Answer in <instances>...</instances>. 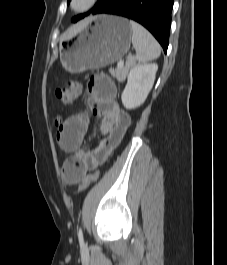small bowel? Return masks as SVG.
Here are the masks:
<instances>
[{"label":"small bowel","instance_id":"small-bowel-1","mask_svg":"<svg viewBox=\"0 0 227 265\" xmlns=\"http://www.w3.org/2000/svg\"><path fill=\"white\" fill-rule=\"evenodd\" d=\"M87 89L89 108L94 116L101 118L100 129L104 138L95 148L81 150L90 122L89 114L85 112L71 115L58 128L56 139L59 147L81 159V166L73 171L72 180L64 178L70 184L78 183L88 170L105 163L131 124L130 115L116 102V86L109 76H93Z\"/></svg>","mask_w":227,"mask_h":265}]
</instances>
